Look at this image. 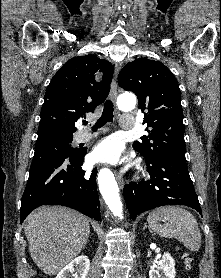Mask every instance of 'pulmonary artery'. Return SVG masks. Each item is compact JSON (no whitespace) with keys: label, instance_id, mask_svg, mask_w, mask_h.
Masks as SVG:
<instances>
[{"label":"pulmonary artery","instance_id":"pulmonary-artery-1","mask_svg":"<svg viewBox=\"0 0 221 278\" xmlns=\"http://www.w3.org/2000/svg\"><path fill=\"white\" fill-rule=\"evenodd\" d=\"M135 118L132 115H124L121 118V126L124 129H132L134 127ZM93 134L88 130H81L76 136L77 142H86L93 138Z\"/></svg>","mask_w":221,"mask_h":278}]
</instances>
